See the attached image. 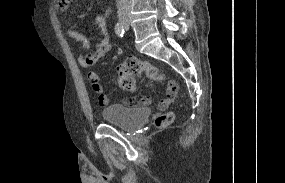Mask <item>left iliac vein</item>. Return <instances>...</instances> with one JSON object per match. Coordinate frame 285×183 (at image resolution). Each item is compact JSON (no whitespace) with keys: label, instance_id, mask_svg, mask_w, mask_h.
<instances>
[{"label":"left iliac vein","instance_id":"1","mask_svg":"<svg viewBox=\"0 0 285 183\" xmlns=\"http://www.w3.org/2000/svg\"><path fill=\"white\" fill-rule=\"evenodd\" d=\"M126 29H127V30L129 29V24L126 25Z\"/></svg>","mask_w":285,"mask_h":183}]
</instances>
